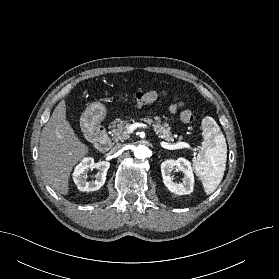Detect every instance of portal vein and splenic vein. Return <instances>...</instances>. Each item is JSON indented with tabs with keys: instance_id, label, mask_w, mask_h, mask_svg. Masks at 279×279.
<instances>
[{
	"instance_id": "obj_1",
	"label": "portal vein and splenic vein",
	"mask_w": 279,
	"mask_h": 279,
	"mask_svg": "<svg viewBox=\"0 0 279 279\" xmlns=\"http://www.w3.org/2000/svg\"><path fill=\"white\" fill-rule=\"evenodd\" d=\"M137 128H147V125L144 124V123H141V122H136V123L130 124L127 127V131L129 133H132ZM160 145L163 148L169 149V150H175V149H181V148L192 149V147L186 142H177V143H174V144H170V143L162 141V142H160ZM194 150H196V149H194Z\"/></svg>"
}]
</instances>
